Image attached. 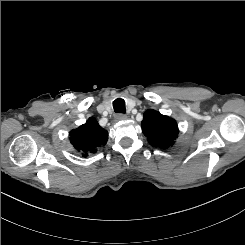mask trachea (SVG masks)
<instances>
[{"mask_svg":"<svg viewBox=\"0 0 245 245\" xmlns=\"http://www.w3.org/2000/svg\"><path fill=\"white\" fill-rule=\"evenodd\" d=\"M113 108L116 113H125V101L124 99L117 98L113 102Z\"/></svg>","mask_w":245,"mask_h":245,"instance_id":"1","label":"trachea"}]
</instances>
